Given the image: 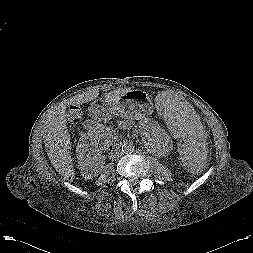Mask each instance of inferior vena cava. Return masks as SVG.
Returning <instances> with one entry per match:
<instances>
[{
  "label": "inferior vena cava",
  "instance_id": "1",
  "mask_svg": "<svg viewBox=\"0 0 253 253\" xmlns=\"http://www.w3.org/2000/svg\"><path fill=\"white\" fill-rule=\"evenodd\" d=\"M122 154H123V152L120 149H115L113 157L117 159V158L121 157Z\"/></svg>",
  "mask_w": 253,
  "mask_h": 253
}]
</instances>
